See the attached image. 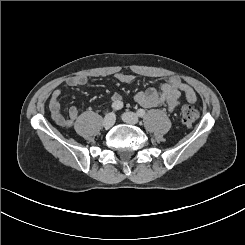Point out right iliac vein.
Here are the masks:
<instances>
[{
    "label": "right iliac vein",
    "mask_w": 245,
    "mask_h": 245,
    "mask_svg": "<svg viewBox=\"0 0 245 245\" xmlns=\"http://www.w3.org/2000/svg\"><path fill=\"white\" fill-rule=\"evenodd\" d=\"M115 123V115L114 113H109L105 116L103 120V126L105 128H111Z\"/></svg>",
    "instance_id": "1"
}]
</instances>
